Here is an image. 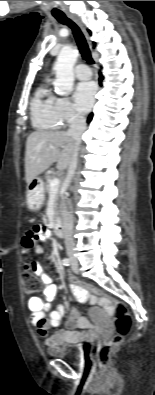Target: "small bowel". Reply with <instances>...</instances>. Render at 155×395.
Here are the masks:
<instances>
[{"instance_id":"small-bowel-1","label":"small bowel","mask_w":155,"mask_h":395,"mask_svg":"<svg viewBox=\"0 0 155 395\" xmlns=\"http://www.w3.org/2000/svg\"><path fill=\"white\" fill-rule=\"evenodd\" d=\"M47 235L45 228L41 225H36L29 230L22 239V247L28 250L35 246L37 250L41 251L45 248ZM35 274L40 278L43 285V292L45 300L39 297H32L28 301V308L31 311L30 323L36 329L37 334L42 338V344L50 352L63 343H81L93 339L96 335L97 328L93 322L86 317L80 315L77 310H72L68 320L66 321V329L55 332L52 336H48L50 328L58 327L61 324L64 308L62 306L56 307L47 317L45 312L49 309V304L52 302L57 293V287L53 283L51 277L44 273L42 268L34 262ZM70 291H73L78 301L98 303L104 312H111V301L104 296H96L88 292L87 288H81L80 285L70 284L68 286ZM98 316L101 323H104L103 313L100 311H93Z\"/></svg>"}]
</instances>
